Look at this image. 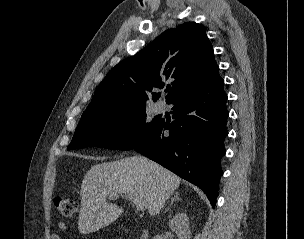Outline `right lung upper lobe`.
Masks as SVG:
<instances>
[{
    "label": "right lung upper lobe",
    "instance_id": "obj_1",
    "mask_svg": "<svg viewBox=\"0 0 304 239\" xmlns=\"http://www.w3.org/2000/svg\"><path fill=\"white\" fill-rule=\"evenodd\" d=\"M212 45L198 23L168 29L136 55L119 62L99 85L81 118L122 105H144L153 87L171 82L167 103L217 72ZM170 86V85H168ZM160 93H153V101Z\"/></svg>",
    "mask_w": 304,
    "mask_h": 239
}]
</instances>
